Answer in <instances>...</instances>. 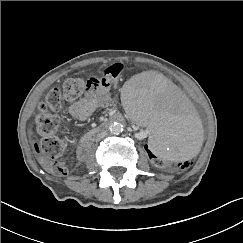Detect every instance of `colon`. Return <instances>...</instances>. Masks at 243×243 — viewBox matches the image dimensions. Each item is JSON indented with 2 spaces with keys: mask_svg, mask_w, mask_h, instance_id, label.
<instances>
[{
  "mask_svg": "<svg viewBox=\"0 0 243 243\" xmlns=\"http://www.w3.org/2000/svg\"><path fill=\"white\" fill-rule=\"evenodd\" d=\"M123 70L121 63H113L105 67L99 75H96L95 70L89 69L86 72L88 80L78 77H70L64 80L62 88L51 89L44 100L37 107L35 124L38 133L42 136L39 143L36 144V150L42 155L44 168L57 176H62L66 173V168L63 162V155L67 149V142L58 137L56 132L60 125V119L57 112L60 110L62 101H72L80 97L84 91L92 86L101 84L110 86L116 83ZM96 75V76H95ZM144 145L143 153L148 157L156 167L163 168L168 165V162L158 156L153 150L142 141ZM196 163L193 160L177 161L172 164L175 170H191L195 168Z\"/></svg>",
  "mask_w": 243,
  "mask_h": 243,
  "instance_id": "1",
  "label": "colon"
}]
</instances>
